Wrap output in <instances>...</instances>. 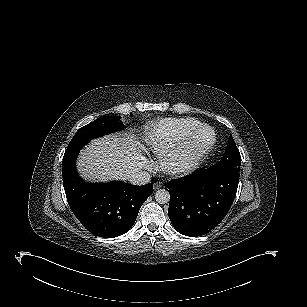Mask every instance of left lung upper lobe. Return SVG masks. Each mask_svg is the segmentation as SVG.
<instances>
[{
    "label": "left lung upper lobe",
    "instance_id": "left-lung-upper-lobe-1",
    "mask_svg": "<svg viewBox=\"0 0 307 307\" xmlns=\"http://www.w3.org/2000/svg\"><path fill=\"white\" fill-rule=\"evenodd\" d=\"M240 165H241V156L239 150L237 149L233 137H230L223 158L211 168L215 171L222 169H231L239 173Z\"/></svg>",
    "mask_w": 307,
    "mask_h": 307
}]
</instances>
